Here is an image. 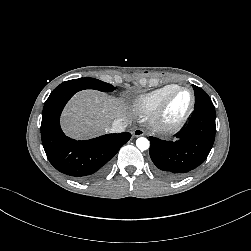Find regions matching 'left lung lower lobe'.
<instances>
[{"label": "left lung lower lobe", "mask_w": 251, "mask_h": 251, "mask_svg": "<svg viewBox=\"0 0 251 251\" xmlns=\"http://www.w3.org/2000/svg\"><path fill=\"white\" fill-rule=\"evenodd\" d=\"M215 112L195 109L187 126L176 133L175 141L150 138V157L157 174L179 179L207 158L215 139Z\"/></svg>", "instance_id": "obj_1"}]
</instances>
